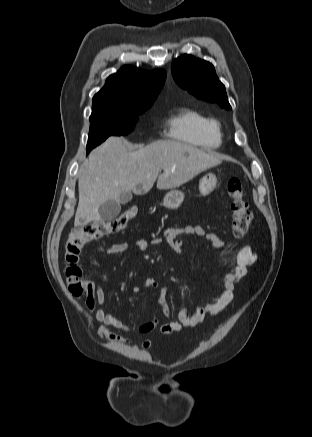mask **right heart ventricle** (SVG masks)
I'll return each mask as SVG.
<instances>
[{"label": "right heart ventricle", "instance_id": "obj_1", "mask_svg": "<svg viewBox=\"0 0 312 437\" xmlns=\"http://www.w3.org/2000/svg\"><path fill=\"white\" fill-rule=\"evenodd\" d=\"M166 128L171 138L192 145L217 147L222 141L219 122L189 108L180 109L172 115L166 122Z\"/></svg>", "mask_w": 312, "mask_h": 437}]
</instances>
